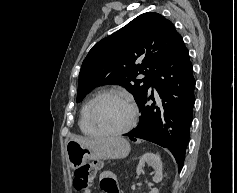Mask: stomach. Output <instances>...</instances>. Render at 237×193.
Listing matches in <instances>:
<instances>
[{
	"mask_svg": "<svg viewBox=\"0 0 237 193\" xmlns=\"http://www.w3.org/2000/svg\"><path fill=\"white\" fill-rule=\"evenodd\" d=\"M130 152L129 142L122 137H113L101 142L81 144L69 140L66 144V155L70 166L77 169L87 160L122 159Z\"/></svg>",
	"mask_w": 237,
	"mask_h": 193,
	"instance_id": "stomach-1",
	"label": "stomach"
}]
</instances>
